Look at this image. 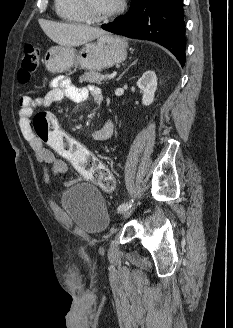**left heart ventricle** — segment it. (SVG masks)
I'll list each match as a JSON object with an SVG mask.
<instances>
[{
  "instance_id": "1",
  "label": "left heart ventricle",
  "mask_w": 233,
  "mask_h": 328,
  "mask_svg": "<svg viewBox=\"0 0 233 328\" xmlns=\"http://www.w3.org/2000/svg\"><path fill=\"white\" fill-rule=\"evenodd\" d=\"M93 14L102 15L113 10L120 0H88Z\"/></svg>"
}]
</instances>
